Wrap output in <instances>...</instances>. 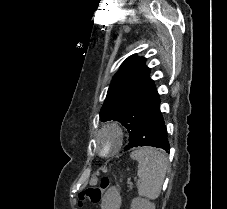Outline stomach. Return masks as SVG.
I'll return each instance as SVG.
<instances>
[{"instance_id":"stomach-1","label":"stomach","mask_w":227,"mask_h":209,"mask_svg":"<svg viewBox=\"0 0 227 209\" xmlns=\"http://www.w3.org/2000/svg\"><path fill=\"white\" fill-rule=\"evenodd\" d=\"M121 205V197L116 187H111L102 198V209H119Z\"/></svg>"}]
</instances>
